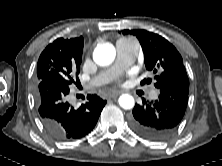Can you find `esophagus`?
Here are the masks:
<instances>
[{"instance_id":"34e87169","label":"esophagus","mask_w":222,"mask_h":166,"mask_svg":"<svg viewBox=\"0 0 222 166\" xmlns=\"http://www.w3.org/2000/svg\"><path fill=\"white\" fill-rule=\"evenodd\" d=\"M122 93V91H113L111 93L108 94L109 98H115L117 96H119Z\"/></svg>"}]
</instances>
